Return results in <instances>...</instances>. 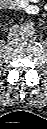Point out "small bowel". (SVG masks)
Instances as JSON below:
<instances>
[{
    "instance_id": "obj_1",
    "label": "small bowel",
    "mask_w": 47,
    "mask_h": 129,
    "mask_svg": "<svg viewBox=\"0 0 47 129\" xmlns=\"http://www.w3.org/2000/svg\"><path fill=\"white\" fill-rule=\"evenodd\" d=\"M38 0H2L3 8L24 10L29 14H37L40 10Z\"/></svg>"
}]
</instances>
